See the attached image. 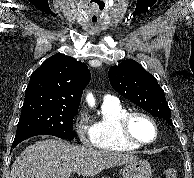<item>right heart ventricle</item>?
I'll return each instance as SVG.
<instances>
[{
  "label": "right heart ventricle",
  "instance_id": "e07e8e85",
  "mask_svg": "<svg viewBox=\"0 0 194 178\" xmlns=\"http://www.w3.org/2000/svg\"><path fill=\"white\" fill-rule=\"evenodd\" d=\"M127 112L128 109L117 100L103 101L101 117L92 125L94 147L111 151H132L139 148L120 137L118 122Z\"/></svg>",
  "mask_w": 194,
  "mask_h": 178
}]
</instances>
